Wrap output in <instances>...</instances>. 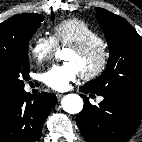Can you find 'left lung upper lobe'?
<instances>
[{
	"mask_svg": "<svg viewBox=\"0 0 142 142\" xmlns=\"http://www.w3.org/2000/svg\"><path fill=\"white\" fill-rule=\"evenodd\" d=\"M95 10L109 46V60L102 75L84 86L97 95L142 100V38L124 18L102 8Z\"/></svg>",
	"mask_w": 142,
	"mask_h": 142,
	"instance_id": "left-lung-upper-lobe-1",
	"label": "left lung upper lobe"
}]
</instances>
